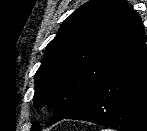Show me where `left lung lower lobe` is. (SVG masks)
I'll return each mask as SVG.
<instances>
[{
    "label": "left lung lower lobe",
    "mask_w": 147,
    "mask_h": 131,
    "mask_svg": "<svg viewBox=\"0 0 147 131\" xmlns=\"http://www.w3.org/2000/svg\"><path fill=\"white\" fill-rule=\"evenodd\" d=\"M147 50L124 59L65 119L83 120L118 131H147Z\"/></svg>",
    "instance_id": "left-lung-lower-lobe-1"
}]
</instances>
